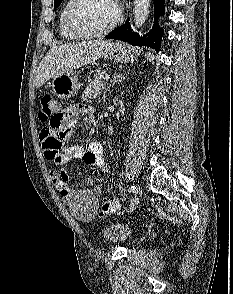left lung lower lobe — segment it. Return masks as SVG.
<instances>
[{"label":"left lung lower lobe","mask_w":233,"mask_h":294,"mask_svg":"<svg viewBox=\"0 0 233 294\" xmlns=\"http://www.w3.org/2000/svg\"><path fill=\"white\" fill-rule=\"evenodd\" d=\"M164 2L165 0H154V25L148 34L140 37L138 33H133L129 20H127L124 25L112 31L106 38L121 40L136 46H149L158 52L161 46V37L164 34L163 30L158 26V18L164 14Z\"/></svg>","instance_id":"left-lung-lower-lobe-1"}]
</instances>
